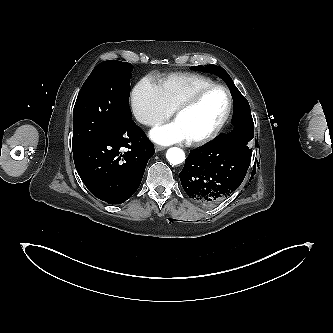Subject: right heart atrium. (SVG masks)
<instances>
[{"label": "right heart atrium", "mask_w": 333, "mask_h": 333, "mask_svg": "<svg viewBox=\"0 0 333 333\" xmlns=\"http://www.w3.org/2000/svg\"><path fill=\"white\" fill-rule=\"evenodd\" d=\"M131 109L138 122L154 126L167 120L173 110L164 100L160 88L149 78L137 83L131 94Z\"/></svg>", "instance_id": "d8ad5b80"}]
</instances>
